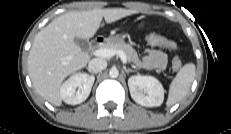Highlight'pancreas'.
<instances>
[{
    "label": "pancreas",
    "instance_id": "pancreas-1",
    "mask_svg": "<svg viewBox=\"0 0 231 134\" xmlns=\"http://www.w3.org/2000/svg\"><path fill=\"white\" fill-rule=\"evenodd\" d=\"M102 47L123 51L126 54L127 60L129 62H131L133 60V56L136 54L135 50L129 44H127L123 41H110V40H108L106 43L103 44Z\"/></svg>",
    "mask_w": 231,
    "mask_h": 134
}]
</instances>
